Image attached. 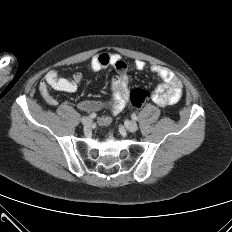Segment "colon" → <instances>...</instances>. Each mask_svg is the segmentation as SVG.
<instances>
[{
    "label": "colon",
    "instance_id": "colon-1",
    "mask_svg": "<svg viewBox=\"0 0 232 232\" xmlns=\"http://www.w3.org/2000/svg\"><path fill=\"white\" fill-rule=\"evenodd\" d=\"M150 97V92L143 88H135L130 92L131 104L136 108L143 106L150 99Z\"/></svg>",
    "mask_w": 232,
    "mask_h": 232
}]
</instances>
